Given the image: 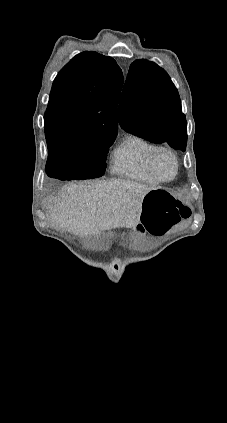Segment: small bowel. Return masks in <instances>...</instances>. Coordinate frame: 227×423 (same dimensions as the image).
<instances>
[{
    "label": "small bowel",
    "mask_w": 227,
    "mask_h": 423,
    "mask_svg": "<svg viewBox=\"0 0 227 423\" xmlns=\"http://www.w3.org/2000/svg\"><path fill=\"white\" fill-rule=\"evenodd\" d=\"M139 229L141 230V231H148V232H150L149 230H148V228L146 227V225H144L143 223H140V225H139ZM151 233V232H150Z\"/></svg>",
    "instance_id": "c3829d8e"
}]
</instances>
